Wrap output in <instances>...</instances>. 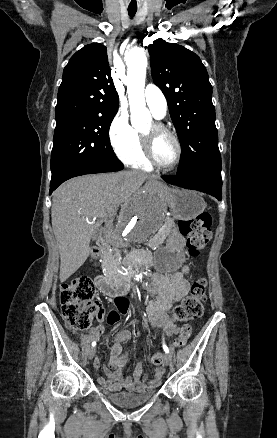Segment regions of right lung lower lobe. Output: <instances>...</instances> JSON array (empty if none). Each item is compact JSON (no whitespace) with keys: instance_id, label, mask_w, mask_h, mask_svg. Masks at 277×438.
Segmentation results:
<instances>
[{"instance_id":"obj_1","label":"right lung lower lobe","mask_w":277,"mask_h":438,"mask_svg":"<svg viewBox=\"0 0 277 438\" xmlns=\"http://www.w3.org/2000/svg\"><path fill=\"white\" fill-rule=\"evenodd\" d=\"M123 169L122 164H96L90 166L76 167L70 169L60 175L59 177L52 179L50 183V194L64 181L80 175L94 174V173H105L119 171Z\"/></svg>"}]
</instances>
